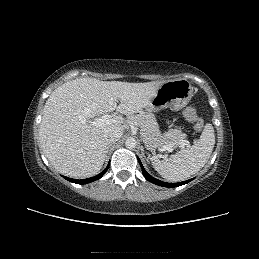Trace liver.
I'll use <instances>...</instances> for the list:
<instances>
[{
    "label": "liver",
    "instance_id": "liver-1",
    "mask_svg": "<svg viewBox=\"0 0 259 259\" xmlns=\"http://www.w3.org/2000/svg\"><path fill=\"white\" fill-rule=\"evenodd\" d=\"M163 83L87 77L59 86L45 103L39 129L40 144L49 162L60 173L73 178L96 175L107 154L105 135L112 130L123 132L125 126L119 119L99 126L92 125V120L115 109L133 116L150 104Z\"/></svg>",
    "mask_w": 259,
    "mask_h": 259
}]
</instances>
